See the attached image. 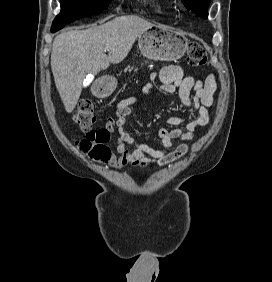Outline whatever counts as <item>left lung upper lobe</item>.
Wrapping results in <instances>:
<instances>
[{"label": "left lung upper lobe", "mask_w": 272, "mask_h": 282, "mask_svg": "<svg viewBox=\"0 0 272 282\" xmlns=\"http://www.w3.org/2000/svg\"><path fill=\"white\" fill-rule=\"evenodd\" d=\"M188 10H192L195 14L202 18L208 17V6L210 0H182Z\"/></svg>", "instance_id": "1"}]
</instances>
